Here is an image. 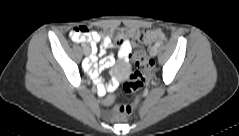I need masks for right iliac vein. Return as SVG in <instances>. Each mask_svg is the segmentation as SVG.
Returning a JSON list of instances; mask_svg holds the SVG:
<instances>
[{
	"label": "right iliac vein",
	"instance_id": "right-iliac-vein-1",
	"mask_svg": "<svg viewBox=\"0 0 239 136\" xmlns=\"http://www.w3.org/2000/svg\"><path fill=\"white\" fill-rule=\"evenodd\" d=\"M83 53H84L85 55H89V54L91 53L90 48H89V47L84 48V49H83Z\"/></svg>",
	"mask_w": 239,
	"mask_h": 136
}]
</instances>
